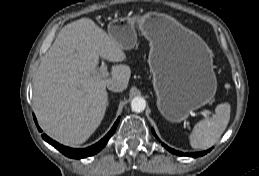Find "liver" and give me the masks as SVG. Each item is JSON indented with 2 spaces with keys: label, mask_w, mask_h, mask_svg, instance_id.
<instances>
[{
  "label": "liver",
  "mask_w": 259,
  "mask_h": 176,
  "mask_svg": "<svg viewBox=\"0 0 259 176\" xmlns=\"http://www.w3.org/2000/svg\"><path fill=\"white\" fill-rule=\"evenodd\" d=\"M99 57L126 60L121 43L91 19L67 24L42 58L33 83L34 109L44 131L70 145L85 142L100 125L108 105L107 86L127 88L130 67L112 66L110 76L98 69Z\"/></svg>",
  "instance_id": "1"
}]
</instances>
